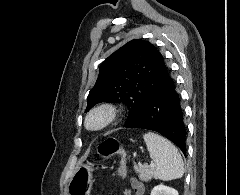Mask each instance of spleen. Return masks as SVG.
Here are the masks:
<instances>
[{
  "instance_id": "obj_1",
  "label": "spleen",
  "mask_w": 240,
  "mask_h": 195,
  "mask_svg": "<svg viewBox=\"0 0 240 195\" xmlns=\"http://www.w3.org/2000/svg\"><path fill=\"white\" fill-rule=\"evenodd\" d=\"M149 155L157 165L156 175L158 179H177L184 173V161L177 147L158 133L148 131L143 135Z\"/></svg>"
}]
</instances>
